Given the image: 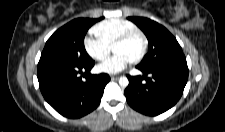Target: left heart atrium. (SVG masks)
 <instances>
[{"label": "left heart atrium", "instance_id": "1", "mask_svg": "<svg viewBox=\"0 0 225 132\" xmlns=\"http://www.w3.org/2000/svg\"><path fill=\"white\" fill-rule=\"evenodd\" d=\"M132 59L124 53H117L109 60L99 65V70L103 73L117 74L124 70Z\"/></svg>", "mask_w": 225, "mask_h": 132}]
</instances>
